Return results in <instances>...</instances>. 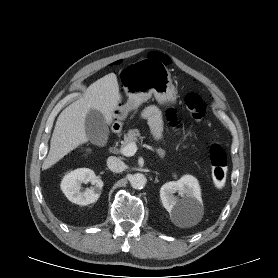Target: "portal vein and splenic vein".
<instances>
[{"instance_id":"portal-vein-and-splenic-vein-1","label":"portal vein and splenic vein","mask_w":278,"mask_h":278,"mask_svg":"<svg viewBox=\"0 0 278 278\" xmlns=\"http://www.w3.org/2000/svg\"><path fill=\"white\" fill-rule=\"evenodd\" d=\"M137 145L136 143H130L123 148L120 149V152L127 157L133 156L137 152Z\"/></svg>"}]
</instances>
